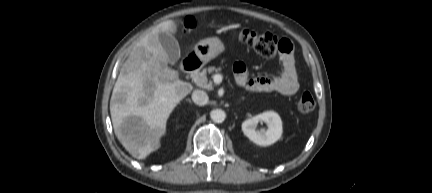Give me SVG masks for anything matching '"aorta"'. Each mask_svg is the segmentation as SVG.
Segmentation results:
<instances>
[{"mask_svg": "<svg viewBox=\"0 0 432 193\" xmlns=\"http://www.w3.org/2000/svg\"><path fill=\"white\" fill-rule=\"evenodd\" d=\"M210 117H211L212 121H214L216 123H221L225 120L226 113L222 109H215V110L211 111Z\"/></svg>", "mask_w": 432, "mask_h": 193, "instance_id": "1", "label": "aorta"}]
</instances>
